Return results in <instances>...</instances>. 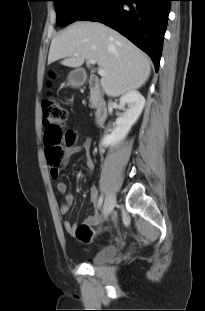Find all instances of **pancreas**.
<instances>
[{"label":"pancreas","instance_id":"pancreas-1","mask_svg":"<svg viewBox=\"0 0 205 311\" xmlns=\"http://www.w3.org/2000/svg\"><path fill=\"white\" fill-rule=\"evenodd\" d=\"M90 103H91L90 107H91V108H95V106H96V101H95V99H94L93 96L90 97Z\"/></svg>","mask_w":205,"mask_h":311}]
</instances>
